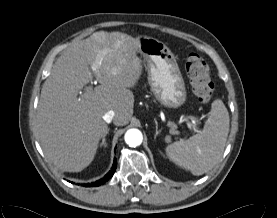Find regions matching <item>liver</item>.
<instances>
[{"label": "liver", "mask_w": 277, "mask_h": 218, "mask_svg": "<svg viewBox=\"0 0 277 218\" xmlns=\"http://www.w3.org/2000/svg\"><path fill=\"white\" fill-rule=\"evenodd\" d=\"M139 48L138 38L99 31L68 47L56 60L42 86L36 134L57 168L79 172L89 166L108 130L106 112H115L116 126L129 123L134 106L130 88L142 74ZM93 76L100 85L78 97Z\"/></svg>", "instance_id": "liver-1"}]
</instances>
